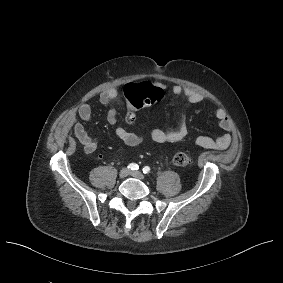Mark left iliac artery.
Wrapping results in <instances>:
<instances>
[{"label":"left iliac artery","instance_id":"1","mask_svg":"<svg viewBox=\"0 0 283 283\" xmlns=\"http://www.w3.org/2000/svg\"><path fill=\"white\" fill-rule=\"evenodd\" d=\"M143 173L144 174H147L150 172V167L149 166H145L143 169H142Z\"/></svg>","mask_w":283,"mask_h":283}]
</instances>
